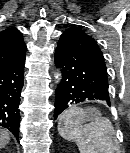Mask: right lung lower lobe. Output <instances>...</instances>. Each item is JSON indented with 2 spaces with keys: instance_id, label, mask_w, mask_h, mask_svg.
<instances>
[{
  "instance_id": "obj_1",
  "label": "right lung lower lobe",
  "mask_w": 130,
  "mask_h": 153,
  "mask_svg": "<svg viewBox=\"0 0 130 153\" xmlns=\"http://www.w3.org/2000/svg\"><path fill=\"white\" fill-rule=\"evenodd\" d=\"M25 57L14 63L0 65V126L19 137V103L23 88Z\"/></svg>"
}]
</instances>
